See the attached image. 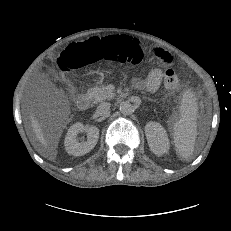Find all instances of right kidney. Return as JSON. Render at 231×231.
Masks as SVG:
<instances>
[{
    "instance_id": "right-kidney-1",
    "label": "right kidney",
    "mask_w": 231,
    "mask_h": 231,
    "mask_svg": "<svg viewBox=\"0 0 231 231\" xmlns=\"http://www.w3.org/2000/svg\"><path fill=\"white\" fill-rule=\"evenodd\" d=\"M85 131L87 134V140L79 142L78 134ZM99 138V129L98 127L91 125L85 127L82 123L77 122L73 124L65 137L64 145L65 150L68 154L74 156H82L90 152L98 142Z\"/></svg>"
}]
</instances>
